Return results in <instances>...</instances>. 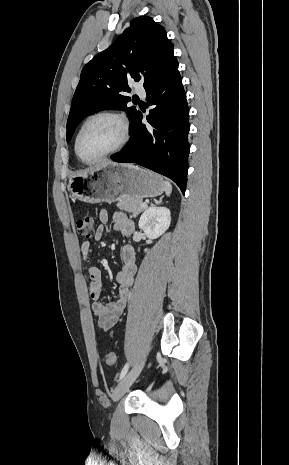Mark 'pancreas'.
I'll return each instance as SVG.
<instances>
[{
    "instance_id": "1",
    "label": "pancreas",
    "mask_w": 289,
    "mask_h": 465,
    "mask_svg": "<svg viewBox=\"0 0 289 465\" xmlns=\"http://www.w3.org/2000/svg\"><path fill=\"white\" fill-rule=\"evenodd\" d=\"M143 201L142 199H135V198H123L119 200L117 203V207L121 210L131 212L134 217L140 214L144 207H142Z\"/></svg>"
}]
</instances>
